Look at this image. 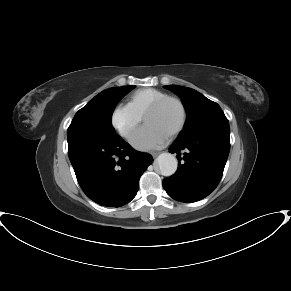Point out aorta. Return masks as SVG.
Instances as JSON below:
<instances>
[{"label":"aorta","instance_id":"obj_1","mask_svg":"<svg viewBox=\"0 0 291 291\" xmlns=\"http://www.w3.org/2000/svg\"><path fill=\"white\" fill-rule=\"evenodd\" d=\"M160 173L163 176L173 175L178 167L176 157L171 153H162L157 158Z\"/></svg>","mask_w":291,"mask_h":291}]
</instances>
